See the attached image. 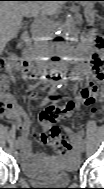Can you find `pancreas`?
Instances as JSON below:
<instances>
[{
  "label": "pancreas",
  "mask_w": 104,
  "mask_h": 189,
  "mask_svg": "<svg viewBox=\"0 0 104 189\" xmlns=\"http://www.w3.org/2000/svg\"><path fill=\"white\" fill-rule=\"evenodd\" d=\"M93 18H94L93 16H90V20H93Z\"/></svg>",
  "instance_id": "cf45deb5"
}]
</instances>
